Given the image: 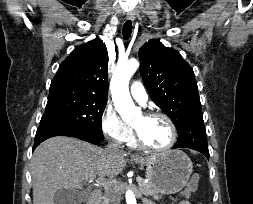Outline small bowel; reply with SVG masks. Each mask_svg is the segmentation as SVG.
<instances>
[{
    "label": "small bowel",
    "mask_w": 253,
    "mask_h": 204,
    "mask_svg": "<svg viewBox=\"0 0 253 204\" xmlns=\"http://www.w3.org/2000/svg\"><path fill=\"white\" fill-rule=\"evenodd\" d=\"M178 204H191L188 200H182Z\"/></svg>",
    "instance_id": "1"
}]
</instances>
